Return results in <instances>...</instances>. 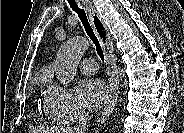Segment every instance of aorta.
Segmentation results:
<instances>
[{
  "instance_id": "aorta-1",
  "label": "aorta",
  "mask_w": 184,
  "mask_h": 133,
  "mask_svg": "<svg viewBox=\"0 0 184 133\" xmlns=\"http://www.w3.org/2000/svg\"><path fill=\"white\" fill-rule=\"evenodd\" d=\"M90 42L84 37H73L60 47L55 63V72L59 82L68 87L73 81L78 64L89 48Z\"/></svg>"
}]
</instances>
